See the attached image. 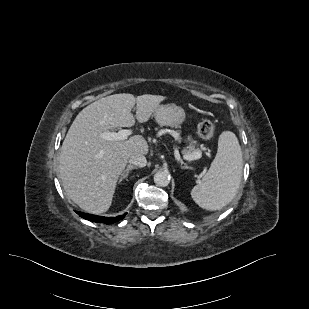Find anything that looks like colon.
Returning a JSON list of instances; mask_svg holds the SVG:
<instances>
[{"label": "colon", "instance_id": "obj_1", "mask_svg": "<svg viewBox=\"0 0 309 309\" xmlns=\"http://www.w3.org/2000/svg\"><path fill=\"white\" fill-rule=\"evenodd\" d=\"M214 124L210 120H203L198 125V135L203 140H209L214 134Z\"/></svg>", "mask_w": 309, "mask_h": 309}]
</instances>
